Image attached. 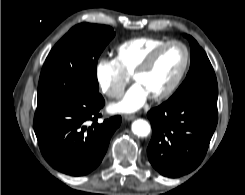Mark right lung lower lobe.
<instances>
[{
	"label": "right lung lower lobe",
	"instance_id": "obj_1",
	"mask_svg": "<svg viewBox=\"0 0 245 195\" xmlns=\"http://www.w3.org/2000/svg\"><path fill=\"white\" fill-rule=\"evenodd\" d=\"M103 97L64 102L37 108L34 131L46 161L58 171L83 176L102 161L111 136L121 124L114 116L98 123ZM92 121L91 126H86Z\"/></svg>",
	"mask_w": 245,
	"mask_h": 195
}]
</instances>
